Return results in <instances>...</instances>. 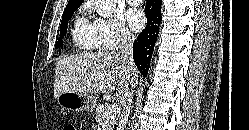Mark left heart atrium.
I'll use <instances>...</instances> for the list:
<instances>
[{
	"instance_id": "obj_1",
	"label": "left heart atrium",
	"mask_w": 249,
	"mask_h": 130,
	"mask_svg": "<svg viewBox=\"0 0 249 130\" xmlns=\"http://www.w3.org/2000/svg\"><path fill=\"white\" fill-rule=\"evenodd\" d=\"M127 19L131 28L135 31L141 30L146 22L144 13L139 10H130L127 13Z\"/></svg>"
}]
</instances>
